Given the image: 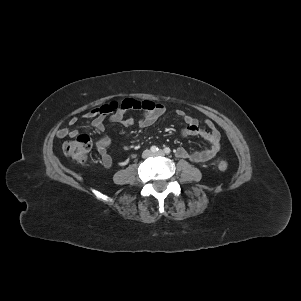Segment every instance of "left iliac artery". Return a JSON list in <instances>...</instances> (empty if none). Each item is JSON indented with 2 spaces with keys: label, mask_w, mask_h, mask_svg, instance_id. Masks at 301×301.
<instances>
[{
  "label": "left iliac artery",
  "mask_w": 301,
  "mask_h": 301,
  "mask_svg": "<svg viewBox=\"0 0 301 301\" xmlns=\"http://www.w3.org/2000/svg\"><path fill=\"white\" fill-rule=\"evenodd\" d=\"M164 152H165L166 154H169V153L171 152V150H170L169 147H165V148H164Z\"/></svg>",
  "instance_id": "44dca946"
}]
</instances>
